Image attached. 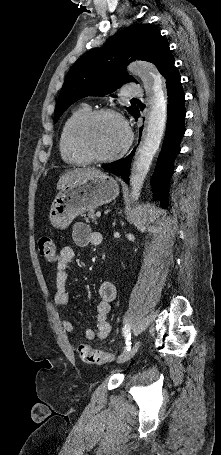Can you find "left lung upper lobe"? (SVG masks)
Wrapping results in <instances>:
<instances>
[{
    "instance_id": "1",
    "label": "left lung upper lobe",
    "mask_w": 221,
    "mask_h": 455,
    "mask_svg": "<svg viewBox=\"0 0 221 455\" xmlns=\"http://www.w3.org/2000/svg\"><path fill=\"white\" fill-rule=\"evenodd\" d=\"M136 59L153 63L162 75L175 62L169 43L156 26L134 25L105 46L85 53L71 66L56 104L54 122L80 98L110 94L124 83L135 81L125 68ZM127 110L133 116L139 109L130 106Z\"/></svg>"
}]
</instances>
